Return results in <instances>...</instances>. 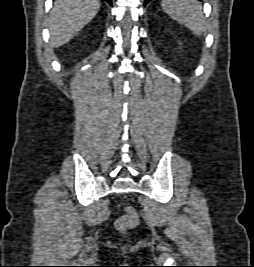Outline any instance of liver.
<instances>
[{"label": "liver", "instance_id": "1", "mask_svg": "<svg viewBox=\"0 0 254 267\" xmlns=\"http://www.w3.org/2000/svg\"><path fill=\"white\" fill-rule=\"evenodd\" d=\"M99 9L98 0H57L50 13V45L57 48L73 39Z\"/></svg>", "mask_w": 254, "mask_h": 267}]
</instances>
